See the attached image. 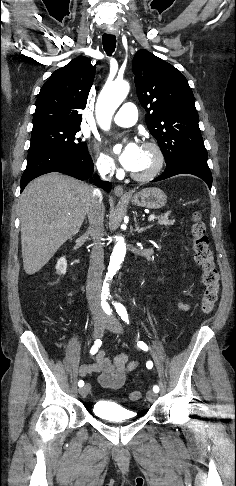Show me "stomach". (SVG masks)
<instances>
[{"instance_id": "1", "label": "stomach", "mask_w": 236, "mask_h": 486, "mask_svg": "<svg viewBox=\"0 0 236 486\" xmlns=\"http://www.w3.org/2000/svg\"><path fill=\"white\" fill-rule=\"evenodd\" d=\"M132 204L148 209H160L167 202L166 194L157 187L144 188L129 198Z\"/></svg>"}]
</instances>
